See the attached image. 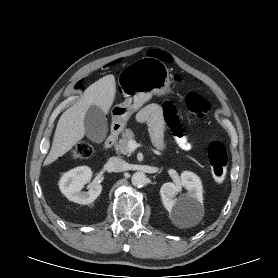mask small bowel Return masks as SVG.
Returning a JSON list of instances; mask_svg holds the SVG:
<instances>
[{
  "label": "small bowel",
  "instance_id": "obj_1",
  "mask_svg": "<svg viewBox=\"0 0 278 278\" xmlns=\"http://www.w3.org/2000/svg\"><path fill=\"white\" fill-rule=\"evenodd\" d=\"M136 118L139 122L148 124L156 147H163V135L167 124L172 128L178 145L184 150L191 149L192 145L184 135L176 110L170 102H165L163 108L157 104H150L141 109Z\"/></svg>",
  "mask_w": 278,
  "mask_h": 278
}]
</instances>
